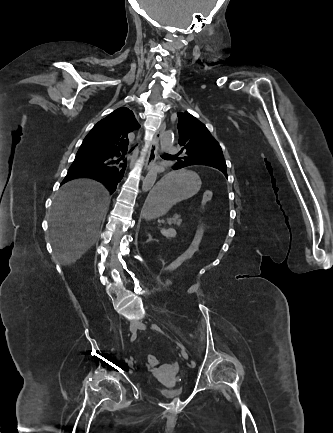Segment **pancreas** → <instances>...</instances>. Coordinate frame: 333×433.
Segmentation results:
<instances>
[{
  "mask_svg": "<svg viewBox=\"0 0 333 433\" xmlns=\"http://www.w3.org/2000/svg\"><path fill=\"white\" fill-rule=\"evenodd\" d=\"M167 221L168 224H177L178 226H180L182 223V220L178 218V215H174L172 218H168Z\"/></svg>",
  "mask_w": 333,
  "mask_h": 433,
  "instance_id": "1",
  "label": "pancreas"
}]
</instances>
